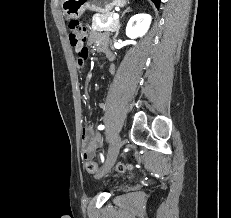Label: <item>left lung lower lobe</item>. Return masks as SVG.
Instances as JSON below:
<instances>
[{"label":"left lung lower lobe","mask_w":231,"mask_h":218,"mask_svg":"<svg viewBox=\"0 0 231 218\" xmlns=\"http://www.w3.org/2000/svg\"><path fill=\"white\" fill-rule=\"evenodd\" d=\"M152 1L155 3L156 7L159 8L160 0H152Z\"/></svg>","instance_id":"0a47b994"}]
</instances>
